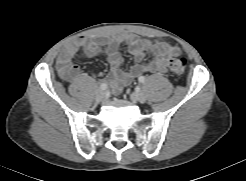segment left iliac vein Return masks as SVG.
I'll return each instance as SVG.
<instances>
[{
    "mask_svg": "<svg viewBox=\"0 0 246 181\" xmlns=\"http://www.w3.org/2000/svg\"><path fill=\"white\" fill-rule=\"evenodd\" d=\"M131 99L134 102L144 103L146 101V96L142 91H138L131 94Z\"/></svg>",
    "mask_w": 246,
    "mask_h": 181,
    "instance_id": "1",
    "label": "left iliac vein"
}]
</instances>
